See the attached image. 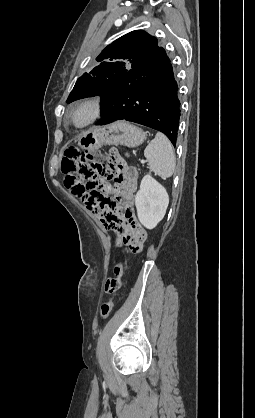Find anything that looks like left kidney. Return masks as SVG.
I'll return each instance as SVG.
<instances>
[{"instance_id":"1","label":"left kidney","mask_w":255,"mask_h":418,"mask_svg":"<svg viewBox=\"0 0 255 418\" xmlns=\"http://www.w3.org/2000/svg\"><path fill=\"white\" fill-rule=\"evenodd\" d=\"M169 204L166 189L151 175H145L135 196L138 219L147 229H153L164 218Z\"/></svg>"}]
</instances>
